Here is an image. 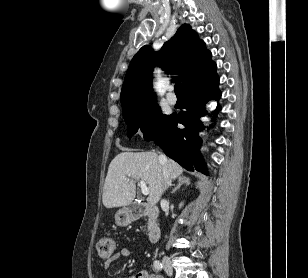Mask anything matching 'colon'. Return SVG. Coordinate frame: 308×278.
<instances>
[{
  "label": "colon",
  "instance_id": "5ec220e1",
  "mask_svg": "<svg viewBox=\"0 0 308 278\" xmlns=\"http://www.w3.org/2000/svg\"><path fill=\"white\" fill-rule=\"evenodd\" d=\"M115 241L110 237L102 238L96 245L97 254L101 259H107L111 257L115 251Z\"/></svg>",
  "mask_w": 308,
  "mask_h": 278
}]
</instances>
